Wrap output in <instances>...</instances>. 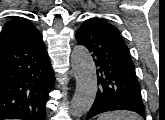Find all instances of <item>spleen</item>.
Segmentation results:
<instances>
[{
  "label": "spleen",
  "instance_id": "spleen-1",
  "mask_svg": "<svg viewBox=\"0 0 165 120\" xmlns=\"http://www.w3.org/2000/svg\"><path fill=\"white\" fill-rule=\"evenodd\" d=\"M98 120H140V118L131 111H112L99 115Z\"/></svg>",
  "mask_w": 165,
  "mask_h": 120
}]
</instances>
